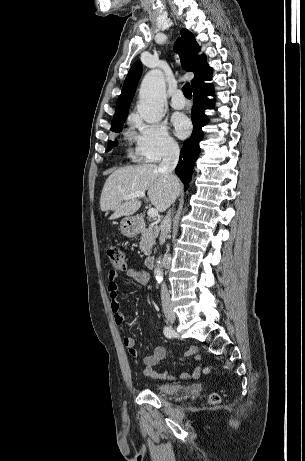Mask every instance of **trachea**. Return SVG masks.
Wrapping results in <instances>:
<instances>
[{
    "label": "trachea",
    "mask_w": 305,
    "mask_h": 461,
    "mask_svg": "<svg viewBox=\"0 0 305 461\" xmlns=\"http://www.w3.org/2000/svg\"><path fill=\"white\" fill-rule=\"evenodd\" d=\"M183 94L186 98H192V91L189 83H186L182 88Z\"/></svg>",
    "instance_id": "3493384b"
}]
</instances>
